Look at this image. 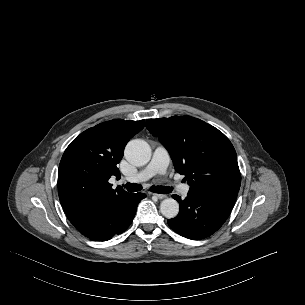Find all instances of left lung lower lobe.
Wrapping results in <instances>:
<instances>
[{"mask_svg":"<svg viewBox=\"0 0 305 305\" xmlns=\"http://www.w3.org/2000/svg\"><path fill=\"white\" fill-rule=\"evenodd\" d=\"M238 191L225 189L219 191L189 190L179 202L180 212L168 220L169 226L178 234L193 240L206 238L215 233L228 218L235 203Z\"/></svg>","mask_w":305,"mask_h":305,"instance_id":"obj_1","label":"left lung lower lobe"}]
</instances>
